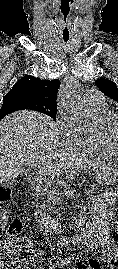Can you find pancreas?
I'll return each mask as SVG.
<instances>
[{
	"label": "pancreas",
	"instance_id": "cf45deb5",
	"mask_svg": "<svg viewBox=\"0 0 118 269\" xmlns=\"http://www.w3.org/2000/svg\"><path fill=\"white\" fill-rule=\"evenodd\" d=\"M37 189L41 190L42 192H47L49 196V202L46 205L47 208L53 209L56 201L52 197V182L47 179H41L37 185ZM101 188L97 186L96 182H89L88 187H85V192H100Z\"/></svg>",
	"mask_w": 118,
	"mask_h": 269
}]
</instances>
